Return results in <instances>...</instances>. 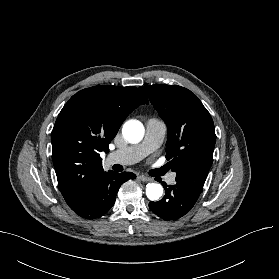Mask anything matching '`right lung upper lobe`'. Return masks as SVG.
I'll list each match as a JSON object with an SVG mask.
<instances>
[{"instance_id":"1","label":"right lung upper lobe","mask_w":279,"mask_h":279,"mask_svg":"<svg viewBox=\"0 0 279 279\" xmlns=\"http://www.w3.org/2000/svg\"><path fill=\"white\" fill-rule=\"evenodd\" d=\"M148 99L138 88L98 85L77 92L64 105L51 133L53 165L71 209L103 173L100 152L109 150L125 118Z\"/></svg>"}]
</instances>
